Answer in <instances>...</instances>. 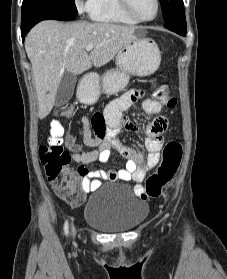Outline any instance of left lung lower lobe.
<instances>
[{"label": "left lung lower lobe", "mask_w": 227, "mask_h": 279, "mask_svg": "<svg viewBox=\"0 0 227 279\" xmlns=\"http://www.w3.org/2000/svg\"><path fill=\"white\" fill-rule=\"evenodd\" d=\"M167 29L181 35V36H186L187 33V27L186 24L183 25H176V24H167L165 23L164 25Z\"/></svg>", "instance_id": "obj_1"}]
</instances>
